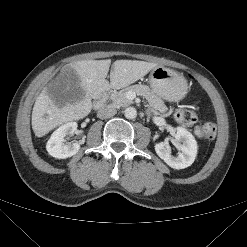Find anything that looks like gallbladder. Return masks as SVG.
I'll use <instances>...</instances> for the list:
<instances>
[{
  "label": "gallbladder",
  "instance_id": "bac80fb5",
  "mask_svg": "<svg viewBox=\"0 0 247 247\" xmlns=\"http://www.w3.org/2000/svg\"><path fill=\"white\" fill-rule=\"evenodd\" d=\"M79 79L78 76L72 71L71 74L61 72L48 86L47 93L55 99L56 104H66L74 101L77 93H82L76 87Z\"/></svg>",
  "mask_w": 247,
  "mask_h": 247
}]
</instances>
